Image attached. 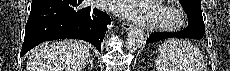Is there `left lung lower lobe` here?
I'll return each instance as SVG.
<instances>
[{
	"mask_svg": "<svg viewBox=\"0 0 230 71\" xmlns=\"http://www.w3.org/2000/svg\"><path fill=\"white\" fill-rule=\"evenodd\" d=\"M184 10L189 18V26L185 30L178 33L155 32L149 36L146 43L158 41L167 37L201 39L205 33V25L201 9L193 6H187Z\"/></svg>",
	"mask_w": 230,
	"mask_h": 71,
	"instance_id": "1",
	"label": "left lung lower lobe"
}]
</instances>
